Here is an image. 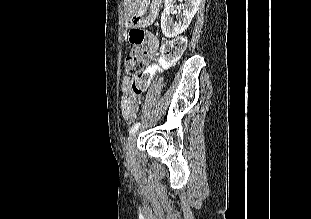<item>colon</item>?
I'll list each match as a JSON object with an SVG mask.
<instances>
[{
    "label": "colon",
    "instance_id": "5ec220e1",
    "mask_svg": "<svg viewBox=\"0 0 311 219\" xmlns=\"http://www.w3.org/2000/svg\"><path fill=\"white\" fill-rule=\"evenodd\" d=\"M142 37V31L134 30L132 34L133 41L138 42ZM185 46L186 41L182 37L167 42L162 48L161 63H171L177 60L184 52ZM142 54V50H135L125 59L126 72L137 76L132 85L135 93H141L147 88L154 73V70L148 74L143 73L144 60Z\"/></svg>",
    "mask_w": 311,
    "mask_h": 219
}]
</instances>
